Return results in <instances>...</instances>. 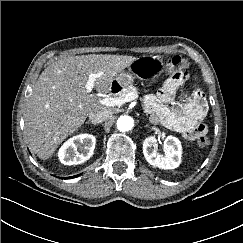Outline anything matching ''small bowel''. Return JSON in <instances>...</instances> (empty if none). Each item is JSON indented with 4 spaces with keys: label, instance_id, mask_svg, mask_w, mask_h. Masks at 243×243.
Masks as SVG:
<instances>
[{
    "label": "small bowel",
    "instance_id": "small-bowel-1",
    "mask_svg": "<svg viewBox=\"0 0 243 243\" xmlns=\"http://www.w3.org/2000/svg\"><path fill=\"white\" fill-rule=\"evenodd\" d=\"M185 77L171 76L155 95H149L145 106L152 115V121L182 135L192 141L205 135L207 127L203 120L207 114L208 104L205 95L195 90L186 96L180 108L169 107L177 90L183 85Z\"/></svg>",
    "mask_w": 243,
    "mask_h": 243
}]
</instances>
